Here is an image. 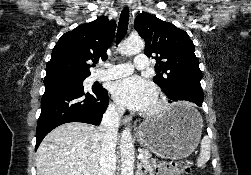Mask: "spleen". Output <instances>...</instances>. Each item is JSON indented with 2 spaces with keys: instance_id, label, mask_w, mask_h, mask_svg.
<instances>
[{
  "instance_id": "1",
  "label": "spleen",
  "mask_w": 251,
  "mask_h": 175,
  "mask_svg": "<svg viewBox=\"0 0 251 175\" xmlns=\"http://www.w3.org/2000/svg\"><path fill=\"white\" fill-rule=\"evenodd\" d=\"M211 139L208 135H204L201 139L200 155L197 159V167H202L208 159H210Z\"/></svg>"
}]
</instances>
